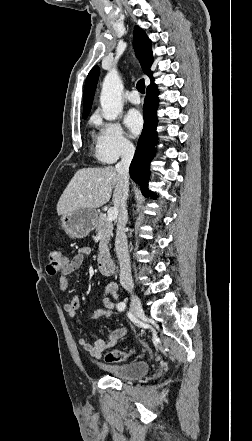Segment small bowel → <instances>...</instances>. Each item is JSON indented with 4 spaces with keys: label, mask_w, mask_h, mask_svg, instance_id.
I'll return each instance as SVG.
<instances>
[{
    "label": "small bowel",
    "mask_w": 252,
    "mask_h": 441,
    "mask_svg": "<svg viewBox=\"0 0 252 441\" xmlns=\"http://www.w3.org/2000/svg\"><path fill=\"white\" fill-rule=\"evenodd\" d=\"M90 254L89 248L80 249L75 256L68 262L66 268L61 272L59 276V291L65 292L69 286V275L76 271L83 263L86 255ZM119 299L118 286L114 282H109L104 290L102 297L103 306H110L114 309ZM118 305V304H117ZM80 308V299L78 295L73 296V298L64 304V310L70 317H75L77 311ZM127 334V329L124 327L117 328L109 333L104 338H99L91 341L87 337H82L79 339V345L92 357L101 358L104 353L114 347L125 335Z\"/></svg>",
    "instance_id": "c3829d8e"
}]
</instances>
